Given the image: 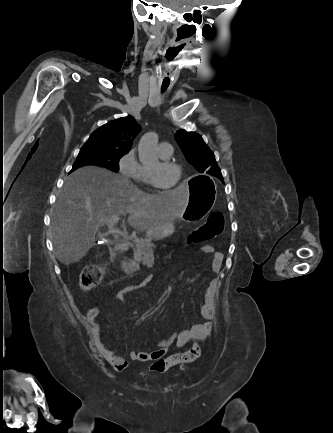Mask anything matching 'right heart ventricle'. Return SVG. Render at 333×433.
I'll use <instances>...</instances> for the list:
<instances>
[{
	"label": "right heart ventricle",
	"instance_id": "e07e8e85",
	"mask_svg": "<svg viewBox=\"0 0 333 433\" xmlns=\"http://www.w3.org/2000/svg\"><path fill=\"white\" fill-rule=\"evenodd\" d=\"M162 159H167L165 157H161ZM140 180L144 183H150L149 176H148V169L146 167H142V175L140 177Z\"/></svg>",
	"mask_w": 333,
	"mask_h": 433
}]
</instances>
